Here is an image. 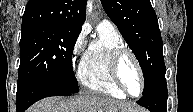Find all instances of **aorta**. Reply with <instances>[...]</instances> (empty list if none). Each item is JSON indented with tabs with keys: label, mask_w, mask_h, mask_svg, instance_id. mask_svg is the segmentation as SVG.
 I'll use <instances>...</instances> for the list:
<instances>
[{
	"label": "aorta",
	"mask_w": 193,
	"mask_h": 112,
	"mask_svg": "<svg viewBox=\"0 0 193 112\" xmlns=\"http://www.w3.org/2000/svg\"><path fill=\"white\" fill-rule=\"evenodd\" d=\"M87 12H88V15L92 13V2L88 3Z\"/></svg>",
	"instance_id": "aorta-1"
}]
</instances>
